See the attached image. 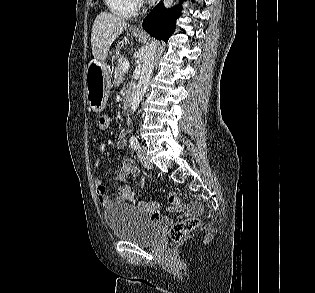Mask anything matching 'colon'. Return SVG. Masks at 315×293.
Listing matches in <instances>:
<instances>
[{
    "instance_id": "colon-1",
    "label": "colon",
    "mask_w": 315,
    "mask_h": 293,
    "mask_svg": "<svg viewBox=\"0 0 315 293\" xmlns=\"http://www.w3.org/2000/svg\"><path fill=\"white\" fill-rule=\"evenodd\" d=\"M109 125V117L106 115H102L98 119L99 129L102 131L107 130ZM168 201L175 206L176 208L181 207V198L177 193H170L168 196ZM201 210L199 204H191L188 207L189 214H198ZM200 225V221L196 217H187L182 219L181 221L175 223L170 230V236L173 242L180 243L185 237L192 231L196 230Z\"/></svg>"
}]
</instances>
